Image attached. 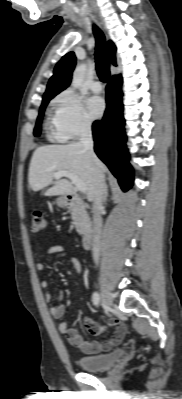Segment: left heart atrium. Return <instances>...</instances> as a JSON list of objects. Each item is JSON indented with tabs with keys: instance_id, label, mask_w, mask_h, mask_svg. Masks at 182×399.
Instances as JSON below:
<instances>
[{
	"instance_id": "obj_1",
	"label": "left heart atrium",
	"mask_w": 182,
	"mask_h": 399,
	"mask_svg": "<svg viewBox=\"0 0 182 399\" xmlns=\"http://www.w3.org/2000/svg\"><path fill=\"white\" fill-rule=\"evenodd\" d=\"M86 106L90 117L97 119L102 115L105 108V103L101 97L92 96L86 100Z\"/></svg>"
}]
</instances>
